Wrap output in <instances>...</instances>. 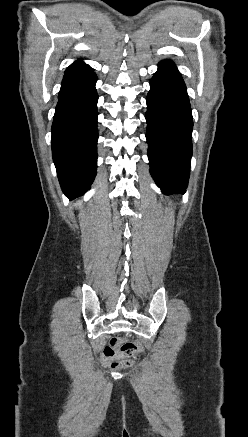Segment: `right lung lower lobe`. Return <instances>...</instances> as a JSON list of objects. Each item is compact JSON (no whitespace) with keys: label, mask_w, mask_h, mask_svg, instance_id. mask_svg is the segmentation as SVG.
Returning a JSON list of instances; mask_svg holds the SVG:
<instances>
[{"label":"right lung lower lobe","mask_w":248,"mask_h":437,"mask_svg":"<svg viewBox=\"0 0 248 437\" xmlns=\"http://www.w3.org/2000/svg\"><path fill=\"white\" fill-rule=\"evenodd\" d=\"M97 76L78 60L65 71L52 124V156L69 199L90 189L97 168Z\"/></svg>","instance_id":"1"}]
</instances>
